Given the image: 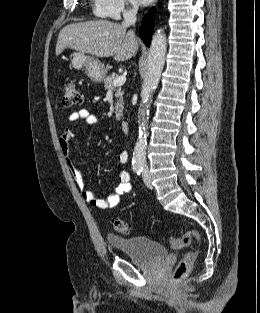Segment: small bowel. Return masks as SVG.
<instances>
[{
	"instance_id": "1",
	"label": "small bowel",
	"mask_w": 260,
	"mask_h": 313,
	"mask_svg": "<svg viewBox=\"0 0 260 313\" xmlns=\"http://www.w3.org/2000/svg\"><path fill=\"white\" fill-rule=\"evenodd\" d=\"M79 120L85 121L89 126H95L99 122L96 115L87 109H81L69 115V121L76 122ZM73 135L74 131L72 128H65L59 135V146L82 198L87 204L97 209H112L116 207L119 204L121 197L132 191L129 173L121 171L118 174V184L115 187L114 192L106 199L98 198L92 190L86 187L82 174L72 159L70 141ZM117 160L120 164H126L128 162V152L125 150L120 151L117 155Z\"/></svg>"
}]
</instances>
